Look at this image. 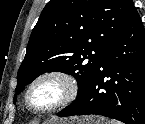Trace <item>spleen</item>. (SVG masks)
<instances>
[{"mask_svg":"<svg viewBox=\"0 0 145 124\" xmlns=\"http://www.w3.org/2000/svg\"><path fill=\"white\" fill-rule=\"evenodd\" d=\"M111 124H121V123L112 121Z\"/></svg>","mask_w":145,"mask_h":124,"instance_id":"3e777b00","label":"spleen"}]
</instances>
